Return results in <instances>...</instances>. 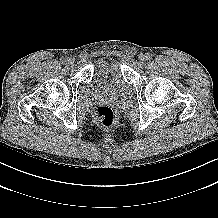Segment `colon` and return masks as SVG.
I'll return each mask as SVG.
<instances>
[{"label": "colon", "instance_id": "obj_1", "mask_svg": "<svg viewBox=\"0 0 218 218\" xmlns=\"http://www.w3.org/2000/svg\"><path fill=\"white\" fill-rule=\"evenodd\" d=\"M94 119L103 128L107 129L111 127L114 121V113L108 106H99L94 112Z\"/></svg>", "mask_w": 218, "mask_h": 218}]
</instances>
